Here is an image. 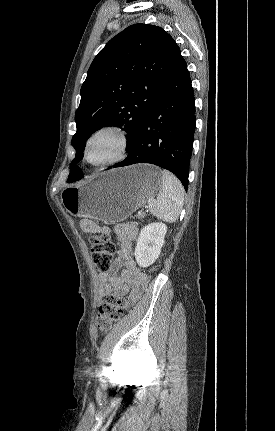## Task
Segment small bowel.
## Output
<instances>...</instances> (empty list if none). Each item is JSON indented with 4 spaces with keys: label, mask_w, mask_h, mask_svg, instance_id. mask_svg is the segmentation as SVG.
I'll return each instance as SVG.
<instances>
[{
    "label": "small bowel",
    "mask_w": 275,
    "mask_h": 431,
    "mask_svg": "<svg viewBox=\"0 0 275 431\" xmlns=\"http://www.w3.org/2000/svg\"><path fill=\"white\" fill-rule=\"evenodd\" d=\"M83 231L90 234L109 233V229H101L91 220L80 223ZM117 239V257L109 270L99 273L98 296L101 300L110 293L124 295L130 291L127 305H134L141 297L147 284V277L136 266L133 256V242L138 236V229L130 223H120L113 228Z\"/></svg>",
    "instance_id": "small-bowel-1"
}]
</instances>
